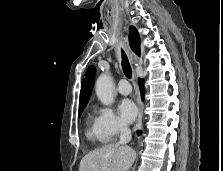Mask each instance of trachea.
<instances>
[{
	"instance_id": "trachea-1",
	"label": "trachea",
	"mask_w": 223,
	"mask_h": 171,
	"mask_svg": "<svg viewBox=\"0 0 223 171\" xmlns=\"http://www.w3.org/2000/svg\"><path fill=\"white\" fill-rule=\"evenodd\" d=\"M121 52H122V69L125 76L130 79L132 77V68L130 66L127 55L125 54L123 49L121 50Z\"/></svg>"
}]
</instances>
